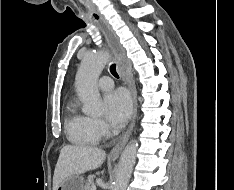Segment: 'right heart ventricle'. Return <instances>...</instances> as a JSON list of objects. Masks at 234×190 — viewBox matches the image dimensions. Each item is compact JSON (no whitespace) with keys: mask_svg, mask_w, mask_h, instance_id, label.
Segmentation results:
<instances>
[{"mask_svg":"<svg viewBox=\"0 0 234 190\" xmlns=\"http://www.w3.org/2000/svg\"><path fill=\"white\" fill-rule=\"evenodd\" d=\"M65 129L74 144L90 146L99 142L100 136L93 127L92 118L78 111L73 102L66 108Z\"/></svg>","mask_w":234,"mask_h":190,"instance_id":"obj_1","label":"right heart ventricle"}]
</instances>
